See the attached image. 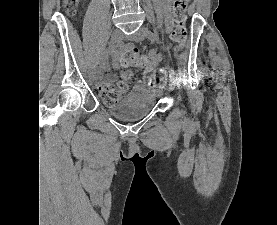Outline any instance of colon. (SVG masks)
I'll use <instances>...</instances> for the list:
<instances>
[{
  "instance_id": "5ec220e1",
  "label": "colon",
  "mask_w": 277,
  "mask_h": 225,
  "mask_svg": "<svg viewBox=\"0 0 277 225\" xmlns=\"http://www.w3.org/2000/svg\"><path fill=\"white\" fill-rule=\"evenodd\" d=\"M190 0H173L171 11L173 14V31L172 40L175 43V50H180L187 38L186 15L185 10ZM80 0H64V6L68 14H74L79 5ZM119 64L123 67L146 66L148 59L135 50L124 52L119 60ZM132 74L129 71L122 73V80L117 83L109 84L99 88V96L106 104L117 102L123 94L129 89V80ZM165 79L161 71L154 72L145 76L144 82L147 86H161Z\"/></svg>"
}]
</instances>
